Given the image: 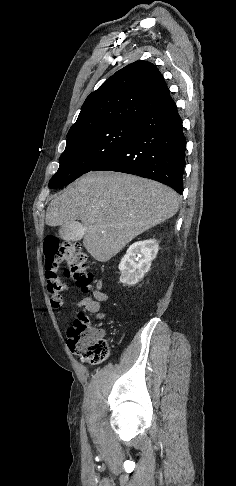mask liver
<instances>
[{"label":"liver","mask_w":236,"mask_h":486,"mask_svg":"<svg viewBox=\"0 0 236 486\" xmlns=\"http://www.w3.org/2000/svg\"><path fill=\"white\" fill-rule=\"evenodd\" d=\"M178 209V195L161 183L120 172H89L49 203L45 220L54 227L81 220L85 249L107 262Z\"/></svg>","instance_id":"obj_1"}]
</instances>
